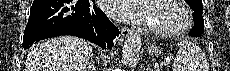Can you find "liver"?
<instances>
[{
    "label": "liver",
    "mask_w": 230,
    "mask_h": 71,
    "mask_svg": "<svg viewBox=\"0 0 230 71\" xmlns=\"http://www.w3.org/2000/svg\"><path fill=\"white\" fill-rule=\"evenodd\" d=\"M91 55L92 47L83 39L52 38L30 50L25 71H84Z\"/></svg>",
    "instance_id": "6515ba94"
}]
</instances>
